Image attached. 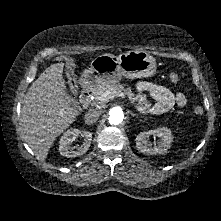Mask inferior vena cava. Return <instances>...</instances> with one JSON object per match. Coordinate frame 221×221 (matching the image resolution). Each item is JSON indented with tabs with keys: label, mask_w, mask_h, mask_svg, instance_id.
<instances>
[{
	"label": "inferior vena cava",
	"mask_w": 221,
	"mask_h": 221,
	"mask_svg": "<svg viewBox=\"0 0 221 221\" xmlns=\"http://www.w3.org/2000/svg\"><path fill=\"white\" fill-rule=\"evenodd\" d=\"M100 114H101V112H100V110H98V109L89 110V111L85 114L84 120H85V122L88 123V124L95 123V122L98 120Z\"/></svg>",
	"instance_id": "602c4592"
}]
</instances>
